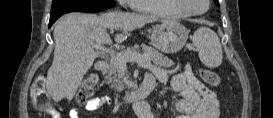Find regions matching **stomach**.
Masks as SVG:
<instances>
[{
    "instance_id": "stomach-1",
    "label": "stomach",
    "mask_w": 273,
    "mask_h": 118,
    "mask_svg": "<svg viewBox=\"0 0 273 118\" xmlns=\"http://www.w3.org/2000/svg\"><path fill=\"white\" fill-rule=\"evenodd\" d=\"M189 31L179 22L163 21L153 27L151 31V43L164 53H175L183 48Z\"/></svg>"
}]
</instances>
